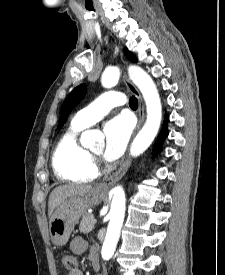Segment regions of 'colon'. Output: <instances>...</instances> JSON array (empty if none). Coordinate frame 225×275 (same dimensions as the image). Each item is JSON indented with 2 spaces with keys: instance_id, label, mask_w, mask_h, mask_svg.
Returning <instances> with one entry per match:
<instances>
[{
  "instance_id": "obj_1",
  "label": "colon",
  "mask_w": 225,
  "mask_h": 275,
  "mask_svg": "<svg viewBox=\"0 0 225 275\" xmlns=\"http://www.w3.org/2000/svg\"><path fill=\"white\" fill-rule=\"evenodd\" d=\"M62 265L68 271L77 269V259L73 254H65L62 257Z\"/></svg>"
}]
</instances>
